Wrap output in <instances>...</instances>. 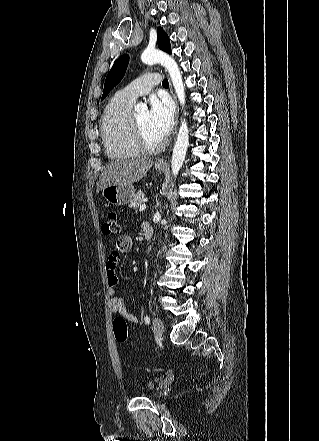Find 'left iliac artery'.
Here are the masks:
<instances>
[{
	"label": "left iliac artery",
	"instance_id": "44dca946",
	"mask_svg": "<svg viewBox=\"0 0 319 441\" xmlns=\"http://www.w3.org/2000/svg\"><path fill=\"white\" fill-rule=\"evenodd\" d=\"M144 321H145V324H149L150 323V317L148 315H146L144 317Z\"/></svg>",
	"mask_w": 319,
	"mask_h": 441
}]
</instances>
